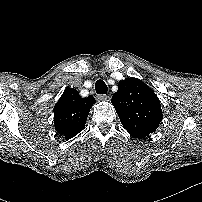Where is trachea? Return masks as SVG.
<instances>
[{"label": "trachea", "mask_w": 202, "mask_h": 202, "mask_svg": "<svg viewBox=\"0 0 202 202\" xmlns=\"http://www.w3.org/2000/svg\"><path fill=\"white\" fill-rule=\"evenodd\" d=\"M95 90L97 94H107L108 87L103 80H97L95 83Z\"/></svg>", "instance_id": "1"}]
</instances>
